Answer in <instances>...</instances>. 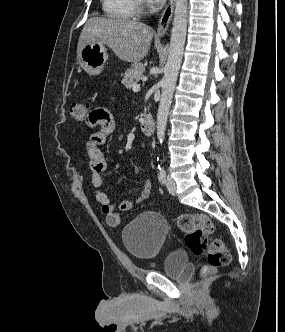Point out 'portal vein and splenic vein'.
Wrapping results in <instances>:
<instances>
[{"mask_svg":"<svg viewBox=\"0 0 285 332\" xmlns=\"http://www.w3.org/2000/svg\"><path fill=\"white\" fill-rule=\"evenodd\" d=\"M132 90H133L134 92H137V91L140 90V86H139V85H133Z\"/></svg>","mask_w":285,"mask_h":332,"instance_id":"1","label":"portal vein and splenic vein"}]
</instances>
